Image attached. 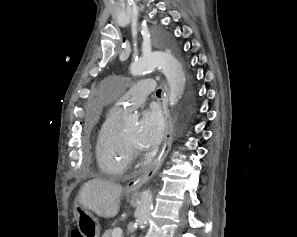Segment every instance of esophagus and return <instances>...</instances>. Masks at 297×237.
I'll return each instance as SVG.
<instances>
[{"label": "esophagus", "mask_w": 297, "mask_h": 237, "mask_svg": "<svg viewBox=\"0 0 297 237\" xmlns=\"http://www.w3.org/2000/svg\"><path fill=\"white\" fill-rule=\"evenodd\" d=\"M163 114L165 119V128H164V140L161 151L158 157L155 159L153 164L145 169L142 174L131 181H129L126 185L127 191H136L138 190L144 183H146L149 179H151L157 171L162 166L164 160L166 159L172 145L173 141V124H172V117L168 110L167 104L165 99L163 98Z\"/></svg>", "instance_id": "obj_1"}]
</instances>
